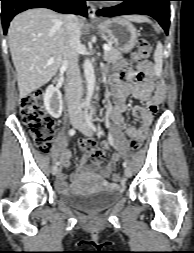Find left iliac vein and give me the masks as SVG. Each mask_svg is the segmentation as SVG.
<instances>
[{
  "instance_id": "obj_1",
  "label": "left iliac vein",
  "mask_w": 194,
  "mask_h": 253,
  "mask_svg": "<svg viewBox=\"0 0 194 253\" xmlns=\"http://www.w3.org/2000/svg\"><path fill=\"white\" fill-rule=\"evenodd\" d=\"M78 129L80 132H82L86 136L93 135L92 129L90 128V126L87 124V122L84 119H81L78 125ZM124 173L127 178H130L132 176V171L130 168H125Z\"/></svg>"
}]
</instances>
